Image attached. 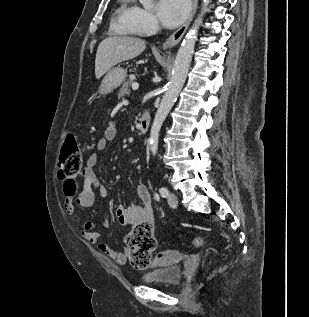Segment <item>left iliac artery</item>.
<instances>
[{
    "label": "left iliac artery",
    "mask_w": 309,
    "mask_h": 317,
    "mask_svg": "<svg viewBox=\"0 0 309 317\" xmlns=\"http://www.w3.org/2000/svg\"><path fill=\"white\" fill-rule=\"evenodd\" d=\"M159 193L162 197L166 198L169 194L168 189L166 187H161L159 189Z\"/></svg>",
    "instance_id": "1"
}]
</instances>
